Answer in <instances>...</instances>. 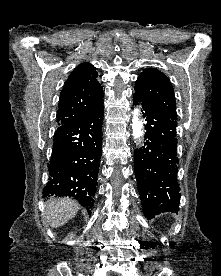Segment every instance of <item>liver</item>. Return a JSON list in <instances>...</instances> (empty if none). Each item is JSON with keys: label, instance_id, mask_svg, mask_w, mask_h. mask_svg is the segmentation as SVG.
<instances>
[{"label": "liver", "instance_id": "6515ba94", "mask_svg": "<svg viewBox=\"0 0 221 276\" xmlns=\"http://www.w3.org/2000/svg\"><path fill=\"white\" fill-rule=\"evenodd\" d=\"M78 209L79 204L71 198L50 199L46 202V221L52 228L61 227L75 217Z\"/></svg>", "mask_w": 221, "mask_h": 276}]
</instances>
